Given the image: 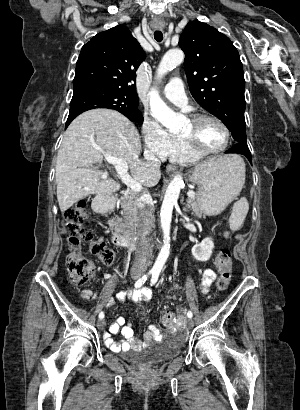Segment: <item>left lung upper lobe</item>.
Instances as JSON below:
<instances>
[{"label":"left lung upper lobe","instance_id":"1","mask_svg":"<svg viewBox=\"0 0 300 410\" xmlns=\"http://www.w3.org/2000/svg\"><path fill=\"white\" fill-rule=\"evenodd\" d=\"M179 46L185 53L184 69L196 102L219 118L235 143L246 144L244 72L232 41L215 28L189 22Z\"/></svg>","mask_w":300,"mask_h":410}]
</instances>
